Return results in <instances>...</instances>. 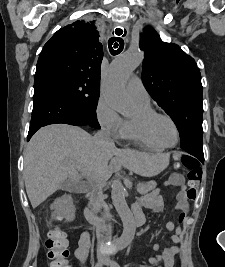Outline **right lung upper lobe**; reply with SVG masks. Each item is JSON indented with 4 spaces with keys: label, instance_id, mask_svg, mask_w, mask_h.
<instances>
[{
    "label": "right lung upper lobe",
    "instance_id": "right-lung-upper-lobe-1",
    "mask_svg": "<svg viewBox=\"0 0 225 267\" xmlns=\"http://www.w3.org/2000/svg\"><path fill=\"white\" fill-rule=\"evenodd\" d=\"M93 24L76 21L58 30L44 45L36 75L62 74L100 86L103 47Z\"/></svg>",
    "mask_w": 225,
    "mask_h": 267
}]
</instances>
